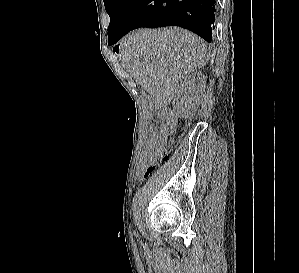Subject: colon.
I'll use <instances>...</instances> for the list:
<instances>
[{"label":"colon","mask_w":299,"mask_h":273,"mask_svg":"<svg viewBox=\"0 0 299 273\" xmlns=\"http://www.w3.org/2000/svg\"><path fill=\"white\" fill-rule=\"evenodd\" d=\"M174 130L175 121L169 119L150 136L139 162L141 176H149L159 166L160 162L167 160Z\"/></svg>","instance_id":"1"}]
</instances>
